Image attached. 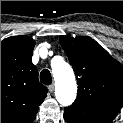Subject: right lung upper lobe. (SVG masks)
<instances>
[{
    "label": "right lung upper lobe",
    "instance_id": "obj_1",
    "mask_svg": "<svg viewBox=\"0 0 123 123\" xmlns=\"http://www.w3.org/2000/svg\"><path fill=\"white\" fill-rule=\"evenodd\" d=\"M34 46L26 36L1 41V123H32L46 97L31 61Z\"/></svg>",
    "mask_w": 123,
    "mask_h": 123
}]
</instances>
